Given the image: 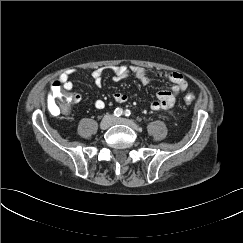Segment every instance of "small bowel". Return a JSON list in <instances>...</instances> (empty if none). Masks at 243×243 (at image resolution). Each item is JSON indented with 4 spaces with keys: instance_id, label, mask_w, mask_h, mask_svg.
I'll use <instances>...</instances> for the list:
<instances>
[{
    "instance_id": "small-bowel-1",
    "label": "small bowel",
    "mask_w": 243,
    "mask_h": 243,
    "mask_svg": "<svg viewBox=\"0 0 243 243\" xmlns=\"http://www.w3.org/2000/svg\"><path fill=\"white\" fill-rule=\"evenodd\" d=\"M108 69L113 74L114 81H120L131 75L144 85H147L152 81L149 71L142 67L118 65L109 67ZM103 72L104 69L99 68L91 73V78L94 84L98 87L102 85ZM70 76L71 72H65L59 77L58 81H56L59 82L67 91H70L73 88V83L70 80ZM158 76L170 81L172 83V87L169 90L159 91L156 94V100L151 102L150 108L155 111L168 110L174 106L176 97L187 89L188 83L184 75L178 72H162L158 74ZM113 98L117 103H124L128 100V96L122 92L115 93ZM80 100V94L77 93L73 95V104L80 102ZM93 105L96 109H103L105 107V102L102 99H97L94 101Z\"/></svg>"
}]
</instances>
